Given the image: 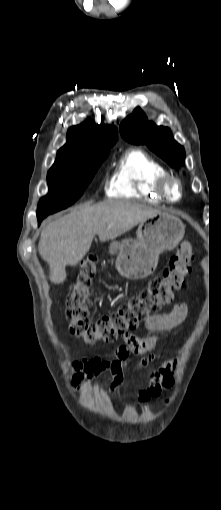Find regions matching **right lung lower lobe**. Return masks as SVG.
Wrapping results in <instances>:
<instances>
[{
	"label": "right lung lower lobe",
	"mask_w": 221,
	"mask_h": 510,
	"mask_svg": "<svg viewBox=\"0 0 221 510\" xmlns=\"http://www.w3.org/2000/svg\"><path fill=\"white\" fill-rule=\"evenodd\" d=\"M45 217H46V216H40V217H38V224H40V223H41V221H42V219H43V218H45Z\"/></svg>",
	"instance_id": "98d812e1"
}]
</instances>
